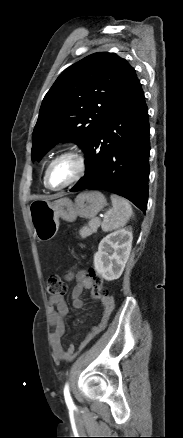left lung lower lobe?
I'll use <instances>...</instances> for the list:
<instances>
[{"label":"left lung lower lobe","mask_w":183,"mask_h":438,"mask_svg":"<svg viewBox=\"0 0 183 438\" xmlns=\"http://www.w3.org/2000/svg\"><path fill=\"white\" fill-rule=\"evenodd\" d=\"M84 151L85 175L70 191H110L145 213L150 142L148 109L138 79L99 125Z\"/></svg>","instance_id":"1"}]
</instances>
